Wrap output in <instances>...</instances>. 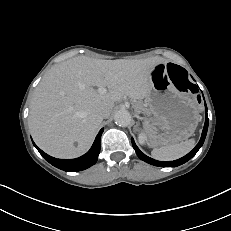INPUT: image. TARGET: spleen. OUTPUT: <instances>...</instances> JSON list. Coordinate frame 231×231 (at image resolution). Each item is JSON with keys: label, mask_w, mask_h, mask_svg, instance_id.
Wrapping results in <instances>:
<instances>
[{"label": "spleen", "mask_w": 231, "mask_h": 231, "mask_svg": "<svg viewBox=\"0 0 231 231\" xmlns=\"http://www.w3.org/2000/svg\"><path fill=\"white\" fill-rule=\"evenodd\" d=\"M195 145V140L190 139L184 142L162 146L152 150L151 154L154 159L160 161H172L179 159L190 152Z\"/></svg>", "instance_id": "spleen-1"}]
</instances>
